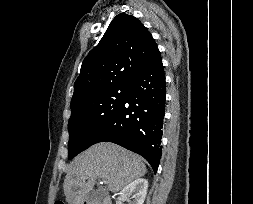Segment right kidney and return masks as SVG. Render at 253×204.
Instances as JSON below:
<instances>
[{
	"instance_id": "obj_1",
	"label": "right kidney",
	"mask_w": 253,
	"mask_h": 204,
	"mask_svg": "<svg viewBox=\"0 0 253 204\" xmlns=\"http://www.w3.org/2000/svg\"><path fill=\"white\" fill-rule=\"evenodd\" d=\"M148 189V181L143 178L136 179L128 184L120 192L122 200L129 201V204H143ZM131 196V197H130Z\"/></svg>"
}]
</instances>
